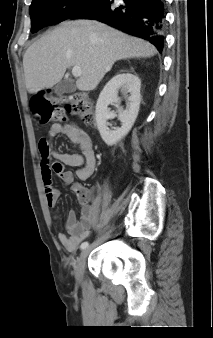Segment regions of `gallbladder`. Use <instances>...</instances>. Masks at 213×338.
Instances as JSON below:
<instances>
[{
    "instance_id": "1",
    "label": "gallbladder",
    "mask_w": 213,
    "mask_h": 338,
    "mask_svg": "<svg viewBox=\"0 0 213 338\" xmlns=\"http://www.w3.org/2000/svg\"><path fill=\"white\" fill-rule=\"evenodd\" d=\"M76 90L75 84L67 80H62L54 87V92L57 95H62L64 93H72Z\"/></svg>"
}]
</instances>
